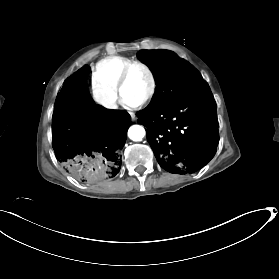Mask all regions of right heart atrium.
Instances as JSON below:
<instances>
[{
    "label": "right heart atrium",
    "instance_id": "obj_1",
    "mask_svg": "<svg viewBox=\"0 0 279 279\" xmlns=\"http://www.w3.org/2000/svg\"><path fill=\"white\" fill-rule=\"evenodd\" d=\"M92 97L97 106L107 114L118 110L120 99L118 95L101 84H93Z\"/></svg>",
    "mask_w": 279,
    "mask_h": 279
}]
</instances>
